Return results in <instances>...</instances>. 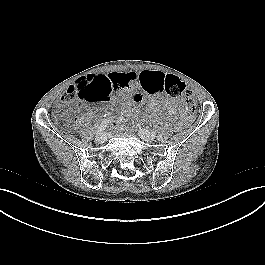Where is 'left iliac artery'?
<instances>
[{"label":"left iliac artery","instance_id":"1","mask_svg":"<svg viewBox=\"0 0 265 265\" xmlns=\"http://www.w3.org/2000/svg\"><path fill=\"white\" fill-rule=\"evenodd\" d=\"M153 136H154V134H153ZM157 139H158V140H161L162 137L159 135V136H157Z\"/></svg>","mask_w":265,"mask_h":265}]
</instances>
